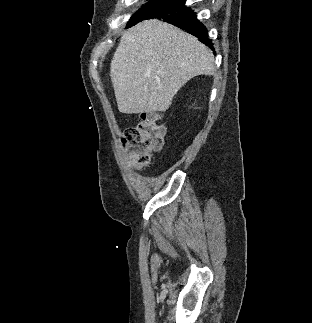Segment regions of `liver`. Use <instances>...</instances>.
I'll list each match as a JSON object with an SVG mask.
<instances>
[{
  "instance_id": "liver-1",
  "label": "liver",
  "mask_w": 312,
  "mask_h": 323,
  "mask_svg": "<svg viewBox=\"0 0 312 323\" xmlns=\"http://www.w3.org/2000/svg\"><path fill=\"white\" fill-rule=\"evenodd\" d=\"M214 56L198 38L160 20L126 30L112 58L110 78L119 112H166L194 76H213Z\"/></svg>"
}]
</instances>
